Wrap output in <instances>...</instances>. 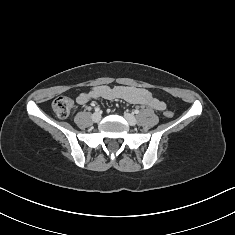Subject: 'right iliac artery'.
<instances>
[{
	"instance_id": "82829eb1",
	"label": "right iliac artery",
	"mask_w": 235,
	"mask_h": 235,
	"mask_svg": "<svg viewBox=\"0 0 235 235\" xmlns=\"http://www.w3.org/2000/svg\"><path fill=\"white\" fill-rule=\"evenodd\" d=\"M95 111H96V112H99V111H100V108L96 107V108H95Z\"/></svg>"
}]
</instances>
